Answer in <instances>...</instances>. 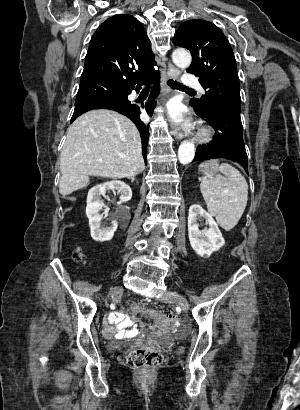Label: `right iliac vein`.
<instances>
[{"label":"right iliac vein","instance_id":"right-iliac-vein-1","mask_svg":"<svg viewBox=\"0 0 300 410\" xmlns=\"http://www.w3.org/2000/svg\"><path fill=\"white\" fill-rule=\"evenodd\" d=\"M122 287L121 286H119V287H116L113 291H112V294L113 295H118V294H120L121 292H122Z\"/></svg>","mask_w":300,"mask_h":410}]
</instances>
